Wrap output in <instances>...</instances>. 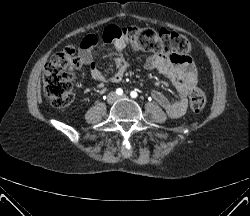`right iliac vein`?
Returning <instances> with one entry per match:
<instances>
[{
	"mask_svg": "<svg viewBox=\"0 0 250 216\" xmlns=\"http://www.w3.org/2000/svg\"><path fill=\"white\" fill-rule=\"evenodd\" d=\"M117 96L115 93H110L107 97L108 103H113L116 100Z\"/></svg>",
	"mask_w": 250,
	"mask_h": 216,
	"instance_id": "63e3f726",
	"label": "right iliac vein"
}]
</instances>
